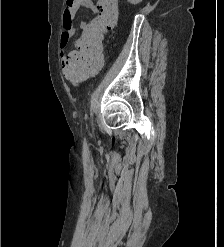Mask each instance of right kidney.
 Segmentation results:
<instances>
[{"mask_svg": "<svg viewBox=\"0 0 224 247\" xmlns=\"http://www.w3.org/2000/svg\"><path fill=\"white\" fill-rule=\"evenodd\" d=\"M128 2H130V4H134V6H136V4H140V2H143V0H128Z\"/></svg>", "mask_w": 224, "mask_h": 247, "instance_id": "obj_1", "label": "right kidney"}]
</instances>
